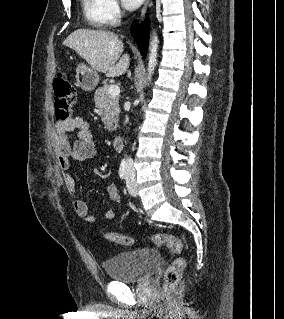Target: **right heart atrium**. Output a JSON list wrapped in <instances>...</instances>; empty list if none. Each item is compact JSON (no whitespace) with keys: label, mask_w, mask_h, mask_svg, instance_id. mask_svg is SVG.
Segmentation results:
<instances>
[{"label":"right heart atrium","mask_w":284,"mask_h":319,"mask_svg":"<svg viewBox=\"0 0 284 319\" xmlns=\"http://www.w3.org/2000/svg\"><path fill=\"white\" fill-rule=\"evenodd\" d=\"M105 10L111 25L117 24L122 17V10L117 0H105Z\"/></svg>","instance_id":"d8ad5b80"}]
</instances>
